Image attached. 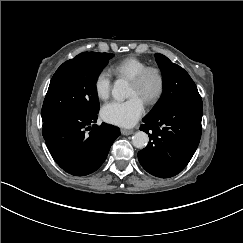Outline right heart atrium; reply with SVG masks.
Here are the masks:
<instances>
[{
  "label": "right heart atrium",
  "instance_id": "d8ad5b80",
  "mask_svg": "<svg viewBox=\"0 0 243 243\" xmlns=\"http://www.w3.org/2000/svg\"><path fill=\"white\" fill-rule=\"evenodd\" d=\"M93 90L98 100L107 99L112 90V72L104 67L100 69L93 79Z\"/></svg>",
  "mask_w": 243,
  "mask_h": 243
}]
</instances>
